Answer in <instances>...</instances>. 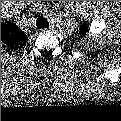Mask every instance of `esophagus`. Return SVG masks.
Wrapping results in <instances>:
<instances>
[{"mask_svg":"<svg viewBox=\"0 0 121 121\" xmlns=\"http://www.w3.org/2000/svg\"><path fill=\"white\" fill-rule=\"evenodd\" d=\"M42 31H44V32H45V31H46V29H42Z\"/></svg>","mask_w":121,"mask_h":121,"instance_id":"obj_1","label":"esophagus"}]
</instances>
